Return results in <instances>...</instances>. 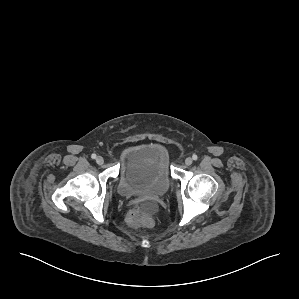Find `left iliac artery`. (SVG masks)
<instances>
[{"mask_svg":"<svg viewBox=\"0 0 299 299\" xmlns=\"http://www.w3.org/2000/svg\"><path fill=\"white\" fill-rule=\"evenodd\" d=\"M192 158H193V160H197V159H198V156L194 154V155L192 156Z\"/></svg>","mask_w":299,"mask_h":299,"instance_id":"1","label":"left iliac artery"}]
</instances>
